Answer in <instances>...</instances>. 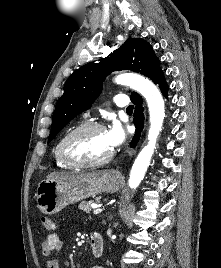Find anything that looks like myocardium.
<instances>
[{
  "mask_svg": "<svg viewBox=\"0 0 221 268\" xmlns=\"http://www.w3.org/2000/svg\"><path fill=\"white\" fill-rule=\"evenodd\" d=\"M91 130H105V127L97 122L83 123L77 126L76 128H74L73 130H71L62 138L58 146V155H59V158L65 164L72 166V167H77V168L95 167V166L103 165L109 162L113 158L114 156L113 150L108 155L100 159H82V158L73 156L69 152L68 147H69L70 142L77 136L85 132L91 131Z\"/></svg>",
  "mask_w": 221,
  "mask_h": 268,
  "instance_id": "f54148a6",
  "label": "myocardium"
}]
</instances>
